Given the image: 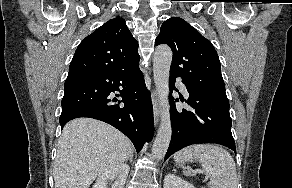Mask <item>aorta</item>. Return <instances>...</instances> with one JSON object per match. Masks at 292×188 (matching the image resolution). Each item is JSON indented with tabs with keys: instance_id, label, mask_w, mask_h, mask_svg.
Here are the masks:
<instances>
[{
	"instance_id": "762f6f07",
	"label": "aorta",
	"mask_w": 292,
	"mask_h": 188,
	"mask_svg": "<svg viewBox=\"0 0 292 188\" xmlns=\"http://www.w3.org/2000/svg\"><path fill=\"white\" fill-rule=\"evenodd\" d=\"M171 61L172 51L170 47L167 45L157 46L153 55V76L159 98L161 122L152 147V157L156 160L164 158L172 136L168 100Z\"/></svg>"
}]
</instances>
